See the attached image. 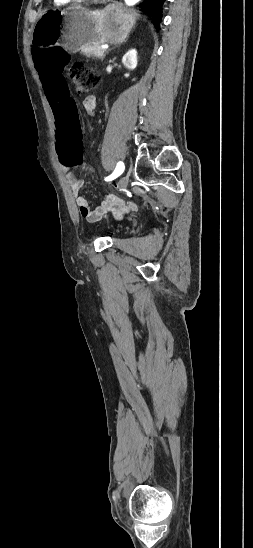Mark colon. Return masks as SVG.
Returning a JSON list of instances; mask_svg holds the SVG:
<instances>
[{
  "label": "colon",
  "instance_id": "colon-1",
  "mask_svg": "<svg viewBox=\"0 0 253 548\" xmlns=\"http://www.w3.org/2000/svg\"><path fill=\"white\" fill-rule=\"evenodd\" d=\"M34 69L40 79V94L47 96V104L52 105V119L57 124L58 142L55 143V152L61 160L62 166H82L92 176L97 174L86 157L80 153V127L78 125V106L73 92L68 88L66 60H52L66 58L64 52L58 48L35 49L33 53ZM70 78L74 90L78 95L91 91L98 83V75L87 69L81 62H75L70 69Z\"/></svg>",
  "mask_w": 253,
  "mask_h": 548
}]
</instances>
